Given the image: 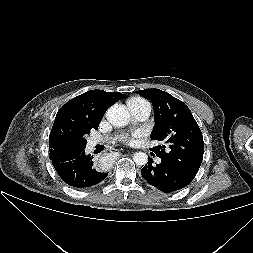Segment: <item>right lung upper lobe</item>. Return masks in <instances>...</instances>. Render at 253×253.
I'll list each match as a JSON object with an SVG mask.
<instances>
[{
	"mask_svg": "<svg viewBox=\"0 0 253 253\" xmlns=\"http://www.w3.org/2000/svg\"><path fill=\"white\" fill-rule=\"evenodd\" d=\"M123 97L122 93L91 90L68 101L58 111L50 136L49 158L68 157L85 149V136L98 129L106 110Z\"/></svg>",
	"mask_w": 253,
	"mask_h": 253,
	"instance_id": "obj_1",
	"label": "right lung upper lobe"
}]
</instances>
